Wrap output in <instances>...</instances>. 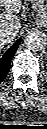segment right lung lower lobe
<instances>
[{"label":"right lung lower lobe","instance_id":"1","mask_svg":"<svg viewBox=\"0 0 47 129\" xmlns=\"http://www.w3.org/2000/svg\"><path fill=\"white\" fill-rule=\"evenodd\" d=\"M20 42L21 39H18L0 58V83L4 80L9 71L12 57L14 56L17 48L19 47Z\"/></svg>","mask_w":47,"mask_h":129}]
</instances>
